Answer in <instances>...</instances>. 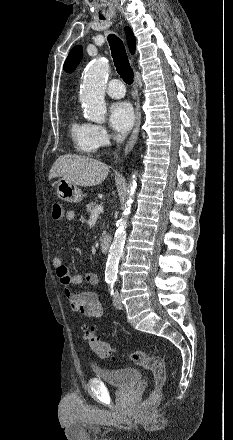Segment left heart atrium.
Wrapping results in <instances>:
<instances>
[{
  "instance_id": "obj_1",
  "label": "left heart atrium",
  "mask_w": 233,
  "mask_h": 440,
  "mask_svg": "<svg viewBox=\"0 0 233 440\" xmlns=\"http://www.w3.org/2000/svg\"><path fill=\"white\" fill-rule=\"evenodd\" d=\"M134 120V112L129 103L116 102L111 105L109 122L111 127L119 134H126L132 127Z\"/></svg>"
}]
</instances>
